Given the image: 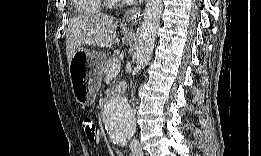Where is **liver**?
Wrapping results in <instances>:
<instances>
[{"label": "liver", "instance_id": "6515ba94", "mask_svg": "<svg viewBox=\"0 0 261 156\" xmlns=\"http://www.w3.org/2000/svg\"><path fill=\"white\" fill-rule=\"evenodd\" d=\"M118 21L108 15L72 17L67 23L66 56L70 65L74 54L84 45L110 48L120 40L116 35Z\"/></svg>", "mask_w": 261, "mask_h": 156}]
</instances>
